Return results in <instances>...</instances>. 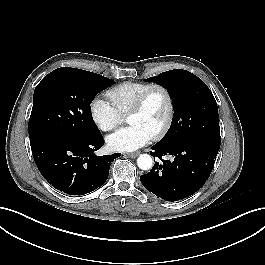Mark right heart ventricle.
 Returning a JSON list of instances; mask_svg holds the SVG:
<instances>
[{
	"label": "right heart ventricle",
	"mask_w": 265,
	"mask_h": 265,
	"mask_svg": "<svg viewBox=\"0 0 265 265\" xmlns=\"http://www.w3.org/2000/svg\"><path fill=\"white\" fill-rule=\"evenodd\" d=\"M151 85L147 82H123L109 89L106 95L116 110L125 116L140 95Z\"/></svg>",
	"instance_id": "1"
}]
</instances>
